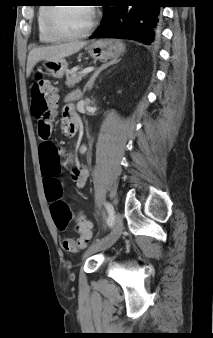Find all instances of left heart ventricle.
Listing matches in <instances>:
<instances>
[{
    "label": "left heart ventricle",
    "mask_w": 213,
    "mask_h": 338,
    "mask_svg": "<svg viewBox=\"0 0 213 338\" xmlns=\"http://www.w3.org/2000/svg\"><path fill=\"white\" fill-rule=\"evenodd\" d=\"M91 19L90 9L85 6L59 7L53 15L54 27L65 34L83 31Z\"/></svg>",
    "instance_id": "obj_1"
}]
</instances>
